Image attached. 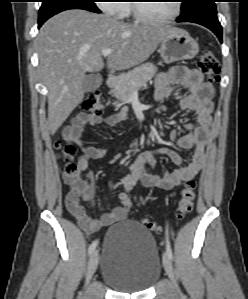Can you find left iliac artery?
Instances as JSON below:
<instances>
[{
    "mask_svg": "<svg viewBox=\"0 0 248 299\" xmlns=\"http://www.w3.org/2000/svg\"><path fill=\"white\" fill-rule=\"evenodd\" d=\"M166 252L169 256V258L172 260L173 259V253H172V249L170 247V243L168 240V232L166 233Z\"/></svg>",
    "mask_w": 248,
    "mask_h": 299,
    "instance_id": "1",
    "label": "left iliac artery"
}]
</instances>
